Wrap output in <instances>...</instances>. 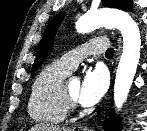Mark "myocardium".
Returning <instances> with one entry per match:
<instances>
[{
    "label": "myocardium",
    "instance_id": "1",
    "mask_svg": "<svg viewBox=\"0 0 147 131\" xmlns=\"http://www.w3.org/2000/svg\"><path fill=\"white\" fill-rule=\"evenodd\" d=\"M62 96L64 104L68 111L75 110L77 108V100L71 96L67 88V81H63L62 84Z\"/></svg>",
    "mask_w": 147,
    "mask_h": 131
}]
</instances>
